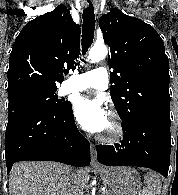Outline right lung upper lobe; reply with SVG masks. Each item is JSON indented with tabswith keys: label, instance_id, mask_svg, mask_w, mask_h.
<instances>
[{
	"label": "right lung upper lobe",
	"instance_id": "right-lung-upper-lobe-1",
	"mask_svg": "<svg viewBox=\"0 0 178 195\" xmlns=\"http://www.w3.org/2000/svg\"><path fill=\"white\" fill-rule=\"evenodd\" d=\"M79 52L80 26L64 5L30 21L10 54L8 96L30 89L57 90L56 83L74 68Z\"/></svg>",
	"mask_w": 178,
	"mask_h": 195
}]
</instances>
